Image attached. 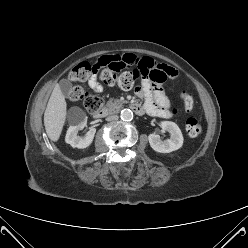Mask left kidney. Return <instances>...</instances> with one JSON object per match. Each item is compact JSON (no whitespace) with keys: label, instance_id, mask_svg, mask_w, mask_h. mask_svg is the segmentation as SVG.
I'll return each instance as SVG.
<instances>
[{"label":"left kidney","instance_id":"left-kidney-1","mask_svg":"<svg viewBox=\"0 0 248 248\" xmlns=\"http://www.w3.org/2000/svg\"><path fill=\"white\" fill-rule=\"evenodd\" d=\"M163 130L171 134L169 139L162 141L159 135L150 134L148 140L151 148L160 153H170L178 150L183 144V135L178 125L171 121H163L160 124Z\"/></svg>","mask_w":248,"mask_h":248}]
</instances>
